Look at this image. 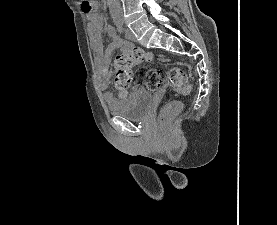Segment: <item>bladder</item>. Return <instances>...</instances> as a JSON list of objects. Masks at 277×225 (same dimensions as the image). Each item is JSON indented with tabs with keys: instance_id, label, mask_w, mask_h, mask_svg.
I'll list each match as a JSON object with an SVG mask.
<instances>
[{
	"instance_id": "obj_1",
	"label": "bladder",
	"mask_w": 277,
	"mask_h": 225,
	"mask_svg": "<svg viewBox=\"0 0 277 225\" xmlns=\"http://www.w3.org/2000/svg\"><path fill=\"white\" fill-rule=\"evenodd\" d=\"M153 104L154 100L151 92L135 89L125 98L111 103L109 112L111 115L121 116L132 121L145 120L149 117Z\"/></svg>"
}]
</instances>
